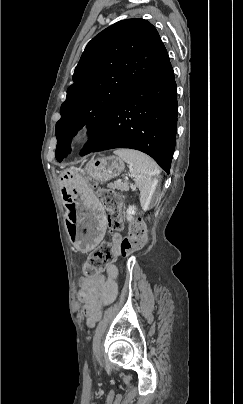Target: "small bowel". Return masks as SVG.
<instances>
[{"label":"small bowel","instance_id":"small-bowel-1","mask_svg":"<svg viewBox=\"0 0 243 404\" xmlns=\"http://www.w3.org/2000/svg\"><path fill=\"white\" fill-rule=\"evenodd\" d=\"M118 237H115L117 240ZM118 269L111 263L106 267V274H99L93 278L81 280V299L85 303V314L90 326L94 325L98 313L103 305L111 303L117 296Z\"/></svg>","mask_w":243,"mask_h":404}]
</instances>
